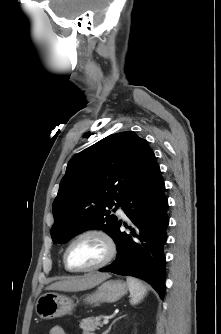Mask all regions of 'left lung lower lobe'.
<instances>
[{
    "label": "left lung lower lobe",
    "mask_w": 221,
    "mask_h": 334,
    "mask_svg": "<svg viewBox=\"0 0 221 334\" xmlns=\"http://www.w3.org/2000/svg\"><path fill=\"white\" fill-rule=\"evenodd\" d=\"M165 184L156 159L133 184L121 207L131 221L130 232H121L120 224L112 238L117 245V258L101 272L131 275L147 281L163 298L165 292V255L168 200Z\"/></svg>",
    "instance_id": "left-lung-lower-lobe-1"
}]
</instances>
